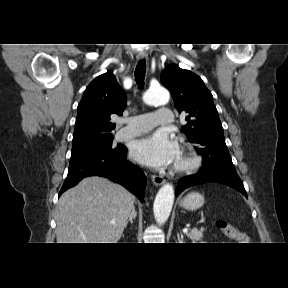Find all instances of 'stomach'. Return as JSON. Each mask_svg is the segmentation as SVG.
<instances>
[{
	"label": "stomach",
	"mask_w": 288,
	"mask_h": 288,
	"mask_svg": "<svg viewBox=\"0 0 288 288\" xmlns=\"http://www.w3.org/2000/svg\"><path fill=\"white\" fill-rule=\"evenodd\" d=\"M204 204V196L197 192H192L186 195L182 201L181 205L186 210H197Z\"/></svg>",
	"instance_id": "0dacf381"
}]
</instances>
